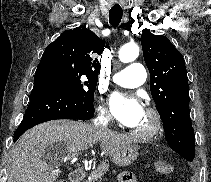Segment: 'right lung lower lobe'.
<instances>
[{
  "label": "right lung lower lobe",
  "mask_w": 211,
  "mask_h": 182,
  "mask_svg": "<svg viewBox=\"0 0 211 182\" xmlns=\"http://www.w3.org/2000/svg\"><path fill=\"white\" fill-rule=\"evenodd\" d=\"M94 116V105L81 99L49 67L39 63L34 76L31 99L14 142L29 128L55 119L88 120Z\"/></svg>",
  "instance_id": "right-lung-lower-lobe-1"
}]
</instances>
